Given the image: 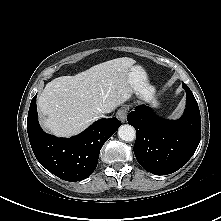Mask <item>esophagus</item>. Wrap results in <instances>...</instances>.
<instances>
[{"label":"esophagus","mask_w":221,"mask_h":221,"mask_svg":"<svg viewBox=\"0 0 221 221\" xmlns=\"http://www.w3.org/2000/svg\"><path fill=\"white\" fill-rule=\"evenodd\" d=\"M127 108H120L117 113H116V117L122 122L124 123L126 121V117H127Z\"/></svg>","instance_id":"esophagus-1"}]
</instances>
